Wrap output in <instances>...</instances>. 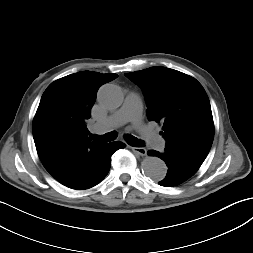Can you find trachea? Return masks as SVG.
<instances>
[{"label":"trachea","mask_w":253,"mask_h":253,"mask_svg":"<svg viewBox=\"0 0 253 253\" xmlns=\"http://www.w3.org/2000/svg\"><path fill=\"white\" fill-rule=\"evenodd\" d=\"M89 136L92 140L99 141L101 143H106V142H110V141L115 140L117 137V132L112 131V132L106 133L102 136H97L94 134H90ZM125 140L127 141V143L129 145H131L133 147H142L144 145V142L142 140H139L130 134H127L125 136Z\"/></svg>","instance_id":"obj_1"}]
</instances>
